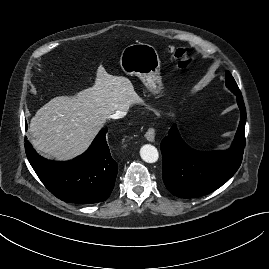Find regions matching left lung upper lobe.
<instances>
[{
  "label": "left lung upper lobe",
  "mask_w": 269,
  "mask_h": 269,
  "mask_svg": "<svg viewBox=\"0 0 269 269\" xmlns=\"http://www.w3.org/2000/svg\"><path fill=\"white\" fill-rule=\"evenodd\" d=\"M226 86L233 92L239 93L238 85L229 71H226Z\"/></svg>",
  "instance_id": "obj_1"
}]
</instances>
